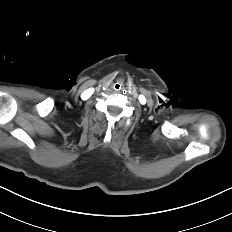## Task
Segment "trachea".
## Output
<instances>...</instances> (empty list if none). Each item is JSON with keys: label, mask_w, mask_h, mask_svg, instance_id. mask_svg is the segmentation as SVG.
I'll return each instance as SVG.
<instances>
[{"label": "trachea", "mask_w": 232, "mask_h": 232, "mask_svg": "<svg viewBox=\"0 0 232 232\" xmlns=\"http://www.w3.org/2000/svg\"><path fill=\"white\" fill-rule=\"evenodd\" d=\"M112 87L115 91L118 92L123 89V84L121 82H115Z\"/></svg>", "instance_id": "1"}]
</instances>
